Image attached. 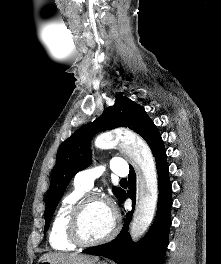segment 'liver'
Wrapping results in <instances>:
<instances>
[{
	"mask_svg": "<svg viewBox=\"0 0 221 264\" xmlns=\"http://www.w3.org/2000/svg\"><path fill=\"white\" fill-rule=\"evenodd\" d=\"M49 261L54 264H95L97 256L79 255L77 253H47L40 257V261Z\"/></svg>",
	"mask_w": 221,
	"mask_h": 264,
	"instance_id": "1",
	"label": "liver"
}]
</instances>
